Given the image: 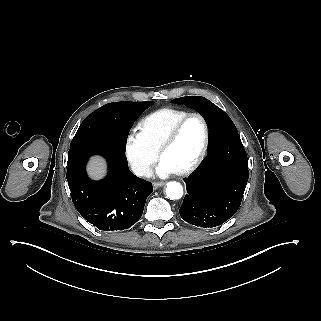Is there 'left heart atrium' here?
Returning <instances> with one entry per match:
<instances>
[{"label":"left heart atrium","mask_w":321,"mask_h":321,"mask_svg":"<svg viewBox=\"0 0 321 321\" xmlns=\"http://www.w3.org/2000/svg\"><path fill=\"white\" fill-rule=\"evenodd\" d=\"M178 168L172 163V161L165 156H161L158 160L155 173L160 177H167L170 174L178 173Z\"/></svg>","instance_id":"obj_1"}]
</instances>
